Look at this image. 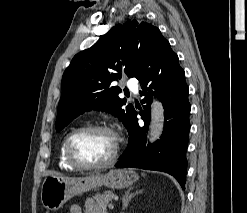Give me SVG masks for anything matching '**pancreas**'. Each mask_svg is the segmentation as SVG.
Listing matches in <instances>:
<instances>
[{
    "label": "pancreas",
    "instance_id": "obj_1",
    "mask_svg": "<svg viewBox=\"0 0 247 213\" xmlns=\"http://www.w3.org/2000/svg\"><path fill=\"white\" fill-rule=\"evenodd\" d=\"M93 198L96 200L100 208L106 210L107 207H109L110 202L114 198V193L111 191H105L103 193L95 194Z\"/></svg>",
    "mask_w": 247,
    "mask_h": 213
}]
</instances>
